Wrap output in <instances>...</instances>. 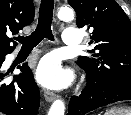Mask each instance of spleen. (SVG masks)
<instances>
[{"label":"spleen","mask_w":131,"mask_h":115,"mask_svg":"<svg viewBox=\"0 0 131 115\" xmlns=\"http://www.w3.org/2000/svg\"><path fill=\"white\" fill-rule=\"evenodd\" d=\"M104 115H131L129 108H111L107 110Z\"/></svg>","instance_id":"obj_1"}]
</instances>
